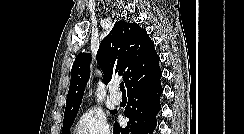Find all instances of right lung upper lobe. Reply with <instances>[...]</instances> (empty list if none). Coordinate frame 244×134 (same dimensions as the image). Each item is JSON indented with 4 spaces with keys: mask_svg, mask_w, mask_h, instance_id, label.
Segmentation results:
<instances>
[{
    "mask_svg": "<svg viewBox=\"0 0 244 134\" xmlns=\"http://www.w3.org/2000/svg\"><path fill=\"white\" fill-rule=\"evenodd\" d=\"M96 58L104 73V83L122 76L127 92L162 74L153 42L135 22H116L100 43ZM90 60V54L79 53L73 63L64 118L78 113L90 76Z\"/></svg>",
    "mask_w": 244,
    "mask_h": 134,
    "instance_id": "right-lung-upper-lobe-1",
    "label": "right lung upper lobe"
}]
</instances>
